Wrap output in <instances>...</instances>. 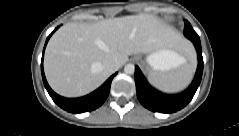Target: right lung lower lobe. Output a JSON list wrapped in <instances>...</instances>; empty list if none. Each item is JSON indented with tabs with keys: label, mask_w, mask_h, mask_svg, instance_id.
Here are the masks:
<instances>
[{
	"label": "right lung lower lobe",
	"mask_w": 239,
	"mask_h": 136,
	"mask_svg": "<svg viewBox=\"0 0 239 136\" xmlns=\"http://www.w3.org/2000/svg\"><path fill=\"white\" fill-rule=\"evenodd\" d=\"M58 28V27H57ZM57 28L55 30H57ZM55 30L48 36L44 50L46 47V44L51 37V35L55 32ZM41 73H42V79L44 86L46 90L48 91L49 95L53 99V101L63 108L64 110L71 112V113H82V112H88L92 111L99 106L103 104V102L106 100L109 92H110V86L112 79L114 76L117 74H113L101 87H99L97 90L94 92L90 93L87 96L80 97V98H64L62 96H59L56 94L48 85L45 75H44V70H43V56H42V61H41Z\"/></svg>",
	"instance_id": "1"
}]
</instances>
